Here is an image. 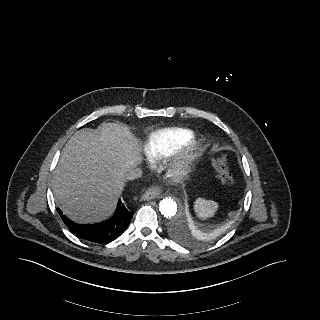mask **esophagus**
Wrapping results in <instances>:
<instances>
[{
    "mask_svg": "<svg viewBox=\"0 0 320 320\" xmlns=\"http://www.w3.org/2000/svg\"><path fill=\"white\" fill-rule=\"evenodd\" d=\"M162 189L160 186H152L148 188L142 195L143 200H151L155 198H159L161 196Z\"/></svg>",
    "mask_w": 320,
    "mask_h": 320,
    "instance_id": "34e87169",
    "label": "esophagus"
}]
</instances>
